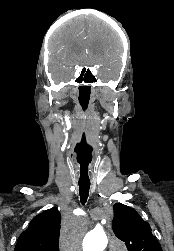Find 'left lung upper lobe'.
Listing matches in <instances>:
<instances>
[{"label":"left lung upper lobe","instance_id":"obj_1","mask_svg":"<svg viewBox=\"0 0 174 251\" xmlns=\"http://www.w3.org/2000/svg\"><path fill=\"white\" fill-rule=\"evenodd\" d=\"M113 209V230L116 237L125 242L128 251H162L150 225L135 209L121 203H116Z\"/></svg>","mask_w":174,"mask_h":251}]
</instances>
